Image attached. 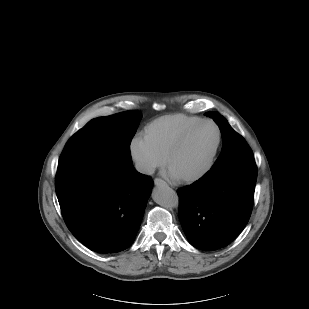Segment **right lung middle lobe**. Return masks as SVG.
Segmentation results:
<instances>
[{
	"instance_id": "dd1d6c3e",
	"label": "right lung middle lobe",
	"mask_w": 309,
	"mask_h": 309,
	"mask_svg": "<svg viewBox=\"0 0 309 309\" xmlns=\"http://www.w3.org/2000/svg\"><path fill=\"white\" fill-rule=\"evenodd\" d=\"M142 115L126 111L91 120L67 143L58 163L56 180L64 178L83 160L96 155L131 160L130 143Z\"/></svg>"
}]
</instances>
